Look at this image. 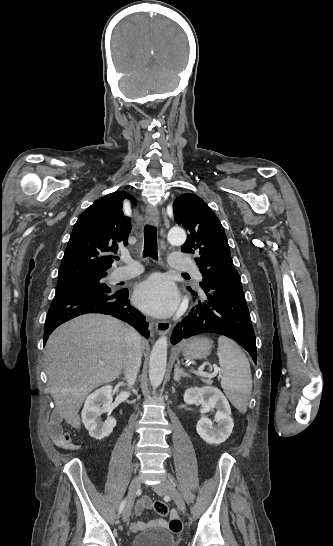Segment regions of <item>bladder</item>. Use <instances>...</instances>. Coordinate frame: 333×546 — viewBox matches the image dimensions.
I'll use <instances>...</instances> for the list:
<instances>
[{"label":"bladder","instance_id":"1","mask_svg":"<svg viewBox=\"0 0 333 546\" xmlns=\"http://www.w3.org/2000/svg\"><path fill=\"white\" fill-rule=\"evenodd\" d=\"M131 546H176L175 537L164 529H152L136 535Z\"/></svg>","mask_w":333,"mask_h":546}]
</instances>
